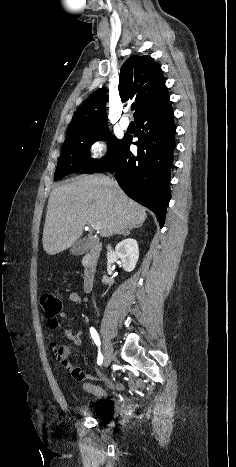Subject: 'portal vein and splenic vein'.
Wrapping results in <instances>:
<instances>
[{"label":"portal vein and splenic vein","instance_id":"1","mask_svg":"<svg viewBox=\"0 0 236 467\" xmlns=\"http://www.w3.org/2000/svg\"><path fill=\"white\" fill-rule=\"evenodd\" d=\"M91 225L97 231H99L101 229V227H102L101 223H91Z\"/></svg>","mask_w":236,"mask_h":467}]
</instances>
